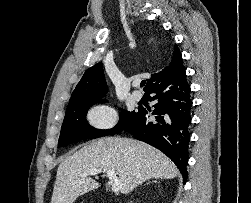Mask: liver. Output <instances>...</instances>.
Segmentation results:
<instances>
[{
	"label": "liver",
	"instance_id": "liver-1",
	"mask_svg": "<svg viewBox=\"0 0 251 203\" xmlns=\"http://www.w3.org/2000/svg\"><path fill=\"white\" fill-rule=\"evenodd\" d=\"M93 169L115 171L122 194L130 193L149 179H171L178 175L171 160L146 143L129 138H101L61 162L51 203H73L79 196L97 189L98 182L82 177Z\"/></svg>",
	"mask_w": 251,
	"mask_h": 203
}]
</instances>
